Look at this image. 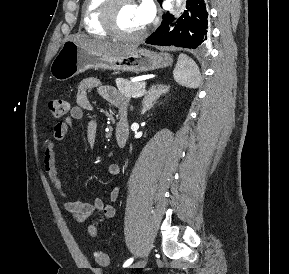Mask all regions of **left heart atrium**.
Returning a JSON list of instances; mask_svg holds the SVG:
<instances>
[{"label":"left heart atrium","instance_id":"obj_1","mask_svg":"<svg viewBox=\"0 0 289 274\" xmlns=\"http://www.w3.org/2000/svg\"><path fill=\"white\" fill-rule=\"evenodd\" d=\"M138 9L145 25L153 20L155 16V6L152 0H142L138 5Z\"/></svg>","mask_w":289,"mask_h":274}]
</instances>
